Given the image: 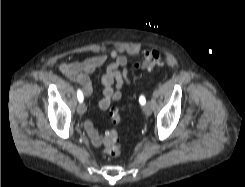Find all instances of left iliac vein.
Segmentation results:
<instances>
[{"label": "left iliac vein", "mask_w": 245, "mask_h": 187, "mask_svg": "<svg viewBox=\"0 0 245 187\" xmlns=\"http://www.w3.org/2000/svg\"><path fill=\"white\" fill-rule=\"evenodd\" d=\"M143 111H144V113H145L147 116L151 115V113H152V107H151V104H150V103L144 104V106H143Z\"/></svg>", "instance_id": "4c4485c4"}]
</instances>
